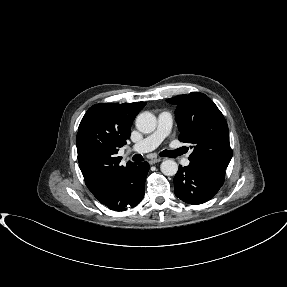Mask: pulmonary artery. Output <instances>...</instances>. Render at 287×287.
Segmentation results:
<instances>
[{
	"instance_id": "obj_1",
	"label": "pulmonary artery",
	"mask_w": 287,
	"mask_h": 287,
	"mask_svg": "<svg viewBox=\"0 0 287 287\" xmlns=\"http://www.w3.org/2000/svg\"><path fill=\"white\" fill-rule=\"evenodd\" d=\"M172 127V115L169 111H163L159 114L156 130L144 138L142 141L129 148L128 152L145 153L152 151L169 135ZM190 163L188 157L182 160L184 166Z\"/></svg>"
}]
</instances>
